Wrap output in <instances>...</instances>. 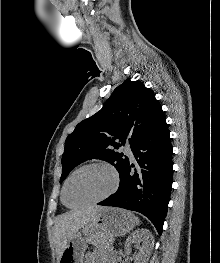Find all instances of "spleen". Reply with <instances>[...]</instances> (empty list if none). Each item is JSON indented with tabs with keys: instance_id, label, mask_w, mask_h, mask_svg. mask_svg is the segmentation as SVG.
<instances>
[{
	"instance_id": "1",
	"label": "spleen",
	"mask_w": 220,
	"mask_h": 263,
	"mask_svg": "<svg viewBox=\"0 0 220 263\" xmlns=\"http://www.w3.org/2000/svg\"><path fill=\"white\" fill-rule=\"evenodd\" d=\"M136 223L139 224V219L137 217H135Z\"/></svg>"
}]
</instances>
